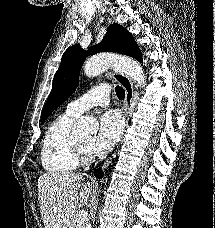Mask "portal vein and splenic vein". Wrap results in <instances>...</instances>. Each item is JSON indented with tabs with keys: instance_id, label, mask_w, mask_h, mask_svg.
Listing matches in <instances>:
<instances>
[{
	"instance_id": "18ae733b",
	"label": "portal vein and splenic vein",
	"mask_w": 215,
	"mask_h": 228,
	"mask_svg": "<svg viewBox=\"0 0 215 228\" xmlns=\"http://www.w3.org/2000/svg\"><path fill=\"white\" fill-rule=\"evenodd\" d=\"M76 220L77 222H84V220H87V212H85V210H81V212H78Z\"/></svg>"
}]
</instances>
